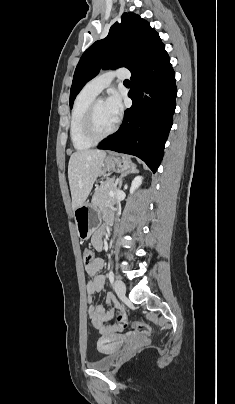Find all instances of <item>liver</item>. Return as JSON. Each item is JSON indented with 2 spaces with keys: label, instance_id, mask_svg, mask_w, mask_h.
Returning <instances> with one entry per match:
<instances>
[{
  "label": "liver",
  "instance_id": "liver-1",
  "mask_svg": "<svg viewBox=\"0 0 235 404\" xmlns=\"http://www.w3.org/2000/svg\"><path fill=\"white\" fill-rule=\"evenodd\" d=\"M105 157L106 152L103 150H82L70 156L68 180L73 210L85 203L95 180L101 174Z\"/></svg>",
  "mask_w": 235,
  "mask_h": 404
}]
</instances>
